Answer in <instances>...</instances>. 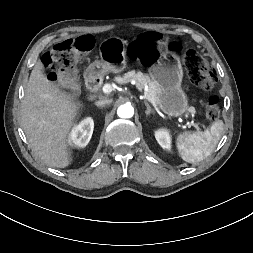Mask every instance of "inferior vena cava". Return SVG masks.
Returning a JSON list of instances; mask_svg holds the SVG:
<instances>
[{"mask_svg": "<svg viewBox=\"0 0 253 253\" xmlns=\"http://www.w3.org/2000/svg\"><path fill=\"white\" fill-rule=\"evenodd\" d=\"M110 103H112V99H103V100H99V101L95 102V105L104 107Z\"/></svg>", "mask_w": 253, "mask_h": 253, "instance_id": "obj_1", "label": "inferior vena cava"}]
</instances>
